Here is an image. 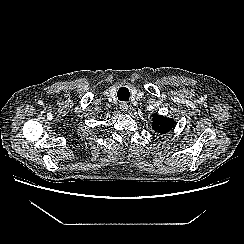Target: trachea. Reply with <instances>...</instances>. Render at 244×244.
Masks as SVG:
<instances>
[{
	"label": "trachea",
	"instance_id": "trachea-1",
	"mask_svg": "<svg viewBox=\"0 0 244 244\" xmlns=\"http://www.w3.org/2000/svg\"><path fill=\"white\" fill-rule=\"evenodd\" d=\"M129 90L126 87H121L117 92V97L120 101H129Z\"/></svg>",
	"mask_w": 244,
	"mask_h": 244
}]
</instances>
